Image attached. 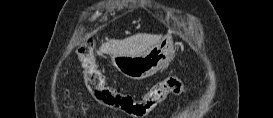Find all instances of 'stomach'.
<instances>
[{
  "label": "stomach",
  "mask_w": 273,
  "mask_h": 118,
  "mask_svg": "<svg viewBox=\"0 0 273 118\" xmlns=\"http://www.w3.org/2000/svg\"><path fill=\"white\" fill-rule=\"evenodd\" d=\"M173 57V40L165 36L139 55H113L112 63L127 78L141 80L168 66Z\"/></svg>",
  "instance_id": "stomach-1"
}]
</instances>
